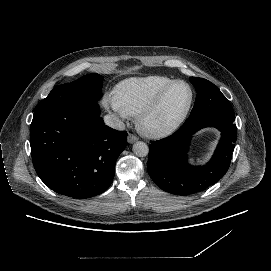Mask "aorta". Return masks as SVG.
Here are the masks:
<instances>
[{
  "label": "aorta",
  "instance_id": "762f6f07",
  "mask_svg": "<svg viewBox=\"0 0 271 271\" xmlns=\"http://www.w3.org/2000/svg\"><path fill=\"white\" fill-rule=\"evenodd\" d=\"M133 152L138 157H145L149 154V148L144 142H136L133 145Z\"/></svg>",
  "mask_w": 271,
  "mask_h": 271
}]
</instances>
